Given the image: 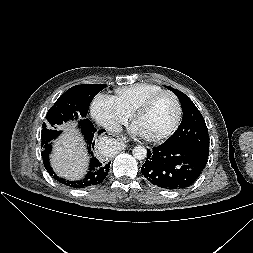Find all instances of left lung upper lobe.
Masks as SVG:
<instances>
[{
	"mask_svg": "<svg viewBox=\"0 0 253 253\" xmlns=\"http://www.w3.org/2000/svg\"><path fill=\"white\" fill-rule=\"evenodd\" d=\"M166 87L179 98L183 110V119L177 131L164 143L191 147L208 156V129L202 114L188 96L177 89Z\"/></svg>",
	"mask_w": 253,
	"mask_h": 253,
	"instance_id": "1",
	"label": "left lung upper lobe"
}]
</instances>
